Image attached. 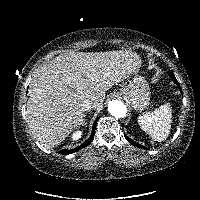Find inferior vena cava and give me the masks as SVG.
Here are the masks:
<instances>
[{"label": "inferior vena cava", "instance_id": "1", "mask_svg": "<svg viewBox=\"0 0 200 200\" xmlns=\"http://www.w3.org/2000/svg\"><path fill=\"white\" fill-rule=\"evenodd\" d=\"M81 108H82V110H84V111H89V110H91L92 108H94V103H93L92 100L86 99V100H84V101L82 102Z\"/></svg>", "mask_w": 200, "mask_h": 200}]
</instances>
